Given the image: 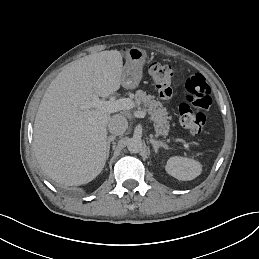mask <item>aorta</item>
<instances>
[{"label": "aorta", "mask_w": 259, "mask_h": 259, "mask_svg": "<svg viewBox=\"0 0 259 259\" xmlns=\"http://www.w3.org/2000/svg\"><path fill=\"white\" fill-rule=\"evenodd\" d=\"M143 144L139 138H130L127 141V148L131 153H138L142 150Z\"/></svg>", "instance_id": "1"}]
</instances>
